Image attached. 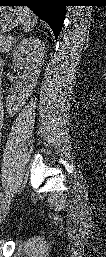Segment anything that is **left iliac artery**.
Here are the masks:
<instances>
[{
	"mask_svg": "<svg viewBox=\"0 0 106 257\" xmlns=\"http://www.w3.org/2000/svg\"><path fill=\"white\" fill-rule=\"evenodd\" d=\"M3 193H0V200H1V203L3 202L4 198H3Z\"/></svg>",
	"mask_w": 106,
	"mask_h": 257,
	"instance_id": "obj_1",
	"label": "left iliac artery"
}]
</instances>
